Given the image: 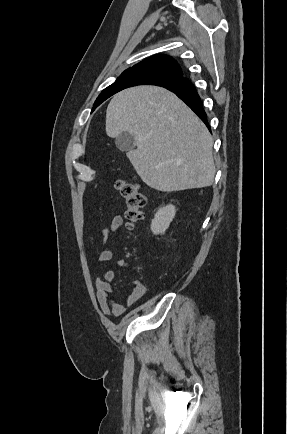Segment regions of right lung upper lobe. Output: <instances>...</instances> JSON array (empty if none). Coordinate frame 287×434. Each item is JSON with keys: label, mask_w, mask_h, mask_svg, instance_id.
I'll return each instance as SVG.
<instances>
[{"label": "right lung upper lobe", "mask_w": 287, "mask_h": 434, "mask_svg": "<svg viewBox=\"0 0 287 434\" xmlns=\"http://www.w3.org/2000/svg\"><path fill=\"white\" fill-rule=\"evenodd\" d=\"M138 68H151V69L165 70L177 76V78L174 80L163 81L154 84L162 87L184 79L181 67L173 58L167 55L159 54V55L152 56L144 61H141L135 66L127 69L126 71L132 69H138Z\"/></svg>", "instance_id": "obj_1"}]
</instances>
